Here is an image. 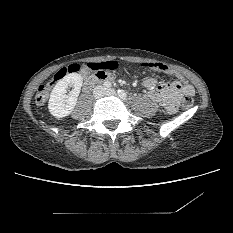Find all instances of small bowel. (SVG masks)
Instances as JSON below:
<instances>
[{"label":"small bowel","mask_w":233,"mask_h":233,"mask_svg":"<svg viewBox=\"0 0 233 233\" xmlns=\"http://www.w3.org/2000/svg\"><path fill=\"white\" fill-rule=\"evenodd\" d=\"M118 66L119 63L116 59H108L99 63L88 62L85 66V72L87 70L103 72L109 76L110 80H113L115 78L114 72ZM173 72L177 79L173 82H162L156 76L146 77L143 81V85L149 90L148 98L160 104L168 114L177 111L183 93L194 94L193 87L184 80L183 76L176 71Z\"/></svg>","instance_id":"obj_1"}]
</instances>
